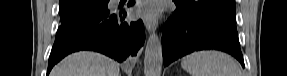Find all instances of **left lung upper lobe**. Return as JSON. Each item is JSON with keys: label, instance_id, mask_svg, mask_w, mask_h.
Instances as JSON below:
<instances>
[{"label": "left lung upper lobe", "instance_id": "1", "mask_svg": "<svg viewBox=\"0 0 287 76\" xmlns=\"http://www.w3.org/2000/svg\"><path fill=\"white\" fill-rule=\"evenodd\" d=\"M175 4L198 11L230 30L237 31L235 0H173Z\"/></svg>", "mask_w": 287, "mask_h": 76}]
</instances>
